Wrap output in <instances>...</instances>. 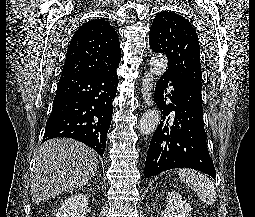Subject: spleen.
<instances>
[{"instance_id":"obj_1","label":"spleen","mask_w":255,"mask_h":217,"mask_svg":"<svg viewBox=\"0 0 255 217\" xmlns=\"http://www.w3.org/2000/svg\"><path fill=\"white\" fill-rule=\"evenodd\" d=\"M180 180L188 185L207 205H212L217 198L214 183L201 172L191 169L177 171Z\"/></svg>"}]
</instances>
